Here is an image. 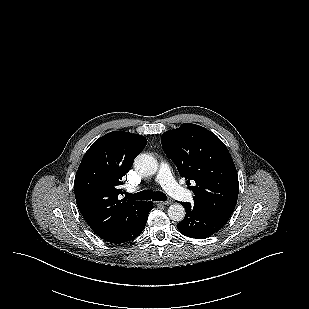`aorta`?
I'll list each match as a JSON object with an SVG mask.
<instances>
[{
  "instance_id": "obj_1",
  "label": "aorta",
  "mask_w": 309,
  "mask_h": 309,
  "mask_svg": "<svg viewBox=\"0 0 309 309\" xmlns=\"http://www.w3.org/2000/svg\"><path fill=\"white\" fill-rule=\"evenodd\" d=\"M134 165L145 176L154 175L158 170L157 160L149 154H139L135 158ZM185 214V208L181 204H172L168 208V216L173 221H182Z\"/></svg>"
}]
</instances>
